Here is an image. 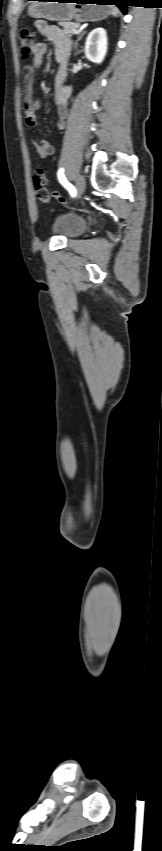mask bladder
<instances>
[{"instance_id":"31cf9c89","label":"bladder","mask_w":162,"mask_h":851,"mask_svg":"<svg viewBox=\"0 0 162 851\" xmlns=\"http://www.w3.org/2000/svg\"><path fill=\"white\" fill-rule=\"evenodd\" d=\"M86 221L79 215L71 212L57 214L52 221V231L67 239L75 238L86 229Z\"/></svg>"}]
</instances>
